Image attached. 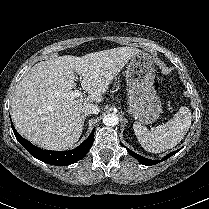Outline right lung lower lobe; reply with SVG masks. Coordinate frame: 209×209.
I'll return each mask as SVG.
<instances>
[{
    "label": "right lung lower lobe",
    "instance_id": "1",
    "mask_svg": "<svg viewBox=\"0 0 209 209\" xmlns=\"http://www.w3.org/2000/svg\"><path fill=\"white\" fill-rule=\"evenodd\" d=\"M12 125V123H11ZM16 139L24 148L35 158L47 164L66 166L81 160L93 145L94 131L90 136L77 148L68 151H50L43 150L32 145L29 141L21 137L12 125Z\"/></svg>",
    "mask_w": 209,
    "mask_h": 209
}]
</instances>
